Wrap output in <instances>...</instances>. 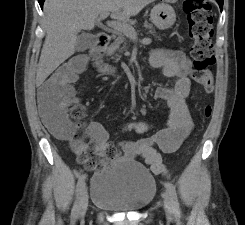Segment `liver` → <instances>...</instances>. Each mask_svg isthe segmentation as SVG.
Listing matches in <instances>:
<instances>
[{
	"label": "liver",
	"instance_id": "obj_1",
	"mask_svg": "<svg viewBox=\"0 0 245 225\" xmlns=\"http://www.w3.org/2000/svg\"><path fill=\"white\" fill-rule=\"evenodd\" d=\"M155 0H46L45 42L41 51L36 83L45 79L75 52L78 33L92 30L97 17L111 12L112 18L127 21Z\"/></svg>",
	"mask_w": 245,
	"mask_h": 225
}]
</instances>
